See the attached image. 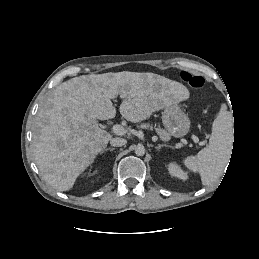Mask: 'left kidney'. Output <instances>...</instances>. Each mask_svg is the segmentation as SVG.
I'll return each instance as SVG.
<instances>
[{
  "mask_svg": "<svg viewBox=\"0 0 259 259\" xmlns=\"http://www.w3.org/2000/svg\"><path fill=\"white\" fill-rule=\"evenodd\" d=\"M167 169L172 176L179 179L186 180L188 178L187 173L184 172L176 163L171 162L167 165Z\"/></svg>",
  "mask_w": 259,
  "mask_h": 259,
  "instance_id": "5707ae66",
  "label": "left kidney"
}]
</instances>
